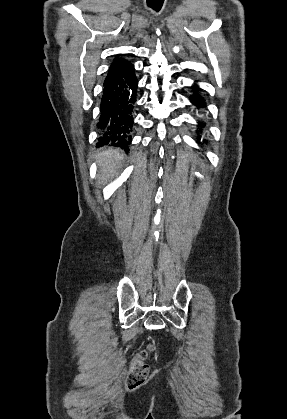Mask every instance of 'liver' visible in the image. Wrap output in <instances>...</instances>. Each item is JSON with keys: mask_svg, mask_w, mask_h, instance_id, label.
<instances>
[{"mask_svg": "<svg viewBox=\"0 0 287 419\" xmlns=\"http://www.w3.org/2000/svg\"><path fill=\"white\" fill-rule=\"evenodd\" d=\"M122 155L117 149L108 148L101 150L97 155L99 163L98 186L106 185L119 174L118 164Z\"/></svg>", "mask_w": 287, "mask_h": 419, "instance_id": "obj_1", "label": "liver"}]
</instances>
